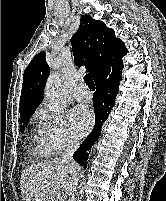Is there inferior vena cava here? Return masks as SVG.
<instances>
[{"label":"inferior vena cava","instance_id":"inferior-vena-cava-1","mask_svg":"<svg viewBox=\"0 0 166 201\" xmlns=\"http://www.w3.org/2000/svg\"><path fill=\"white\" fill-rule=\"evenodd\" d=\"M79 147V142L77 140H70L67 144V147H66V150L64 152V155H63V161L64 162H71L72 161V158H73V154L75 153V151L78 149ZM76 191V183H75V188L72 192V197L69 201H75L74 200V192Z\"/></svg>","mask_w":166,"mask_h":201}]
</instances>
